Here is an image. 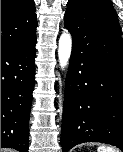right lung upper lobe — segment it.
<instances>
[{
    "label": "right lung upper lobe",
    "mask_w": 123,
    "mask_h": 152,
    "mask_svg": "<svg viewBox=\"0 0 123 152\" xmlns=\"http://www.w3.org/2000/svg\"><path fill=\"white\" fill-rule=\"evenodd\" d=\"M36 27L33 0H1V48L30 40Z\"/></svg>",
    "instance_id": "1"
}]
</instances>
